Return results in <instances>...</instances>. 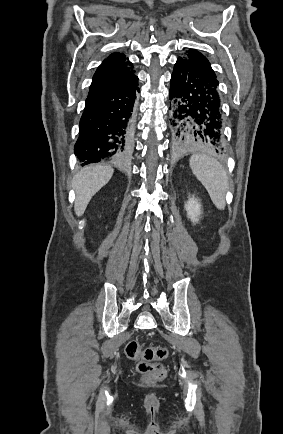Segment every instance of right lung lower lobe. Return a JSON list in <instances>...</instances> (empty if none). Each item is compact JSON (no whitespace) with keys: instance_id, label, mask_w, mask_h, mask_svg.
<instances>
[{"instance_id":"98d812e1","label":"right lung lower lobe","mask_w":283,"mask_h":434,"mask_svg":"<svg viewBox=\"0 0 283 434\" xmlns=\"http://www.w3.org/2000/svg\"><path fill=\"white\" fill-rule=\"evenodd\" d=\"M137 85L134 76L120 87L88 95L74 150L81 162H121L128 157Z\"/></svg>"}]
</instances>
